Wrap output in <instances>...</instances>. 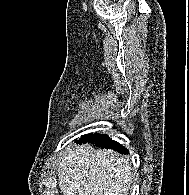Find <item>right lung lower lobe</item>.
<instances>
[{"instance_id": "1", "label": "right lung lower lobe", "mask_w": 189, "mask_h": 195, "mask_svg": "<svg viewBox=\"0 0 189 195\" xmlns=\"http://www.w3.org/2000/svg\"><path fill=\"white\" fill-rule=\"evenodd\" d=\"M78 144L92 143L101 148H108L118 151L122 154H128V150L119 145L118 142L111 140L108 135L103 134H87L75 141Z\"/></svg>"}]
</instances>
